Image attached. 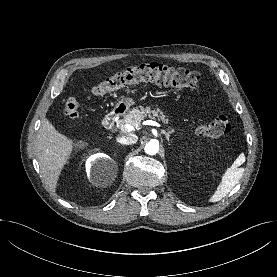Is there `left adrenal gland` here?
Here are the masks:
<instances>
[{
	"mask_svg": "<svg viewBox=\"0 0 277 277\" xmlns=\"http://www.w3.org/2000/svg\"><path fill=\"white\" fill-rule=\"evenodd\" d=\"M172 132H173V130L168 131V132L162 130V132H161L162 134L165 135V137H166L167 141L169 142V144H170V134H172Z\"/></svg>",
	"mask_w": 277,
	"mask_h": 277,
	"instance_id": "left-adrenal-gland-1",
	"label": "left adrenal gland"
}]
</instances>
